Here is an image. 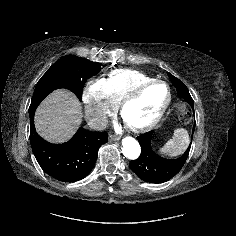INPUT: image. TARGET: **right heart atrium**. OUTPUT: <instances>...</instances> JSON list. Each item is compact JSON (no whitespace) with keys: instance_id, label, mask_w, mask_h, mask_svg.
Returning a JSON list of instances; mask_svg holds the SVG:
<instances>
[{"instance_id":"right-heart-atrium-1","label":"right heart atrium","mask_w":236,"mask_h":236,"mask_svg":"<svg viewBox=\"0 0 236 236\" xmlns=\"http://www.w3.org/2000/svg\"><path fill=\"white\" fill-rule=\"evenodd\" d=\"M82 101L87 121L93 128L102 127L107 117L115 110V105L107 96L103 79L92 80L86 84Z\"/></svg>"}]
</instances>
